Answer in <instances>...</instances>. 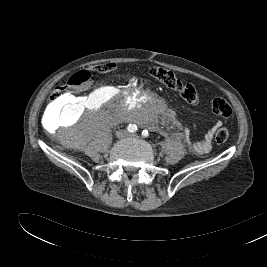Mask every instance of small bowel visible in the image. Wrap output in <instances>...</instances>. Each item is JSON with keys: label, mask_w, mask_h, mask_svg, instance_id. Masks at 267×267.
I'll return each instance as SVG.
<instances>
[{"label": "small bowel", "mask_w": 267, "mask_h": 267, "mask_svg": "<svg viewBox=\"0 0 267 267\" xmlns=\"http://www.w3.org/2000/svg\"><path fill=\"white\" fill-rule=\"evenodd\" d=\"M79 104H80L79 102H73L70 107L74 108V107H77ZM218 126H219V123L215 124L212 128L208 130V132L205 134V136L201 140L192 143V148L197 153L205 154L210 151L213 135Z\"/></svg>", "instance_id": "small-bowel-1"}]
</instances>
